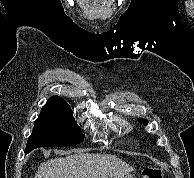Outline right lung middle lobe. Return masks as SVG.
<instances>
[{
  "mask_svg": "<svg viewBox=\"0 0 194 178\" xmlns=\"http://www.w3.org/2000/svg\"><path fill=\"white\" fill-rule=\"evenodd\" d=\"M83 141L72 113L43 107L28 138L25 153L38 147L71 146Z\"/></svg>",
  "mask_w": 194,
  "mask_h": 178,
  "instance_id": "1",
  "label": "right lung middle lobe"
}]
</instances>
